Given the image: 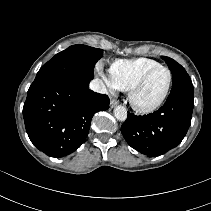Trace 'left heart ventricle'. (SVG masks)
<instances>
[{
    "mask_svg": "<svg viewBox=\"0 0 211 211\" xmlns=\"http://www.w3.org/2000/svg\"><path fill=\"white\" fill-rule=\"evenodd\" d=\"M168 82V73L164 69L154 71L145 82L138 94V102L150 105L156 102L163 94Z\"/></svg>",
    "mask_w": 211,
    "mask_h": 211,
    "instance_id": "1",
    "label": "left heart ventricle"
}]
</instances>
